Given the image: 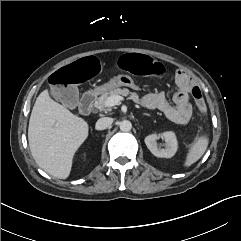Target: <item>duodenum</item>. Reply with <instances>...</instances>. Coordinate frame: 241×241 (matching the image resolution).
<instances>
[{"label":"duodenum","instance_id":"obj_1","mask_svg":"<svg viewBox=\"0 0 241 241\" xmlns=\"http://www.w3.org/2000/svg\"><path fill=\"white\" fill-rule=\"evenodd\" d=\"M95 99L96 93L93 90H88L82 95L80 100V111L84 115H88L92 112Z\"/></svg>","mask_w":241,"mask_h":241}]
</instances>
